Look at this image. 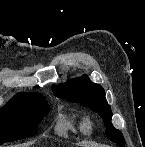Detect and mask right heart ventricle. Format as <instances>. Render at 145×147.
I'll use <instances>...</instances> for the list:
<instances>
[{"label":"right heart ventricle","instance_id":"e07e8e85","mask_svg":"<svg viewBox=\"0 0 145 147\" xmlns=\"http://www.w3.org/2000/svg\"><path fill=\"white\" fill-rule=\"evenodd\" d=\"M56 132L61 136H67L69 133H90V123L84 118H79L75 113L61 112L57 115Z\"/></svg>","mask_w":145,"mask_h":147}]
</instances>
